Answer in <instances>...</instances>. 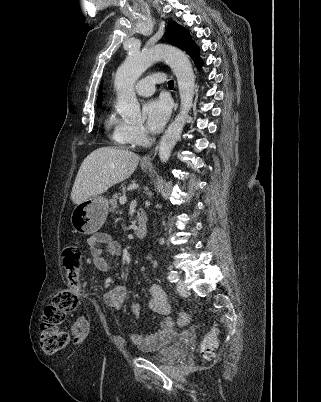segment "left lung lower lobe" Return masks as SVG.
Wrapping results in <instances>:
<instances>
[{
    "label": "left lung lower lobe",
    "mask_w": 321,
    "mask_h": 402,
    "mask_svg": "<svg viewBox=\"0 0 321 402\" xmlns=\"http://www.w3.org/2000/svg\"><path fill=\"white\" fill-rule=\"evenodd\" d=\"M189 55L191 56L196 65L200 66L203 64L202 60L199 57V49L197 46L189 53Z\"/></svg>",
    "instance_id": "obj_1"
}]
</instances>
